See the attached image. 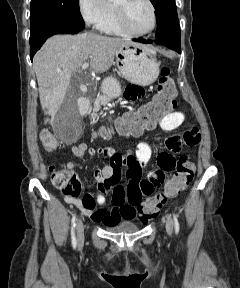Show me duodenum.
I'll return each mask as SVG.
<instances>
[{"mask_svg": "<svg viewBox=\"0 0 240 288\" xmlns=\"http://www.w3.org/2000/svg\"><path fill=\"white\" fill-rule=\"evenodd\" d=\"M78 105H79V110L82 114L88 113L89 108H90V102L87 98H81L79 100Z\"/></svg>", "mask_w": 240, "mask_h": 288, "instance_id": "duodenum-1", "label": "duodenum"}]
</instances>
